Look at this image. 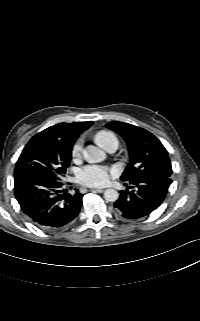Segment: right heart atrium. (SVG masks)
I'll return each mask as SVG.
<instances>
[{
	"label": "right heart atrium",
	"instance_id": "d8ad5b80",
	"mask_svg": "<svg viewBox=\"0 0 200 321\" xmlns=\"http://www.w3.org/2000/svg\"><path fill=\"white\" fill-rule=\"evenodd\" d=\"M81 155V146L79 145V143H75L72 147V156L75 159H78Z\"/></svg>",
	"mask_w": 200,
	"mask_h": 321
}]
</instances>
